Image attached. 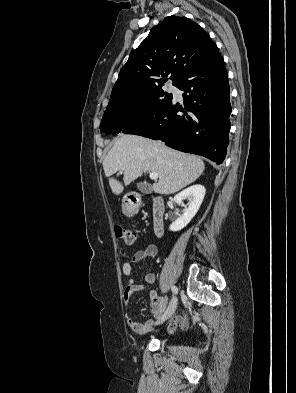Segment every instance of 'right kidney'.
I'll return each instance as SVG.
<instances>
[{"instance_id": "ca27d5eb", "label": "right kidney", "mask_w": 296, "mask_h": 393, "mask_svg": "<svg viewBox=\"0 0 296 393\" xmlns=\"http://www.w3.org/2000/svg\"><path fill=\"white\" fill-rule=\"evenodd\" d=\"M205 187L202 185H193L191 187H188L187 189L183 190L182 192L178 193L174 197V201L177 204H181L183 200L188 199L189 200V205L188 207H185L183 210L182 216L177 218L169 227L171 231H179L186 227L189 222L192 220V218L196 215L198 212L204 196H205Z\"/></svg>"}]
</instances>
